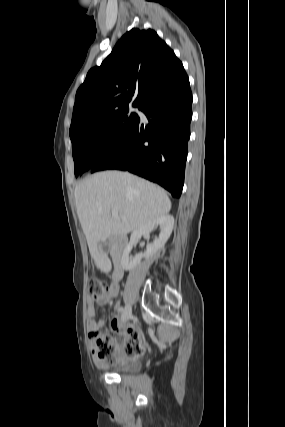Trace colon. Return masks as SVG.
<instances>
[{
	"label": "colon",
	"instance_id": "5ec220e1",
	"mask_svg": "<svg viewBox=\"0 0 285 427\" xmlns=\"http://www.w3.org/2000/svg\"><path fill=\"white\" fill-rule=\"evenodd\" d=\"M88 290L91 297L96 299L108 290V286L102 280L96 277H90L88 280ZM90 337L98 350L100 358L109 361L115 360L116 356L113 349L114 341L108 333L97 330L92 332ZM141 352L142 346L140 340L136 335H133L130 337L127 346L124 348L123 358L124 360H130L140 355Z\"/></svg>",
	"mask_w": 285,
	"mask_h": 427
}]
</instances>
